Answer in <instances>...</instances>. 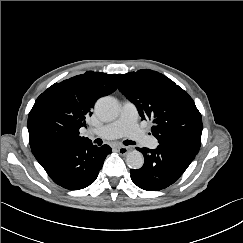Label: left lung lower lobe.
<instances>
[{
    "label": "left lung lower lobe",
    "instance_id": "obj_1",
    "mask_svg": "<svg viewBox=\"0 0 243 243\" xmlns=\"http://www.w3.org/2000/svg\"><path fill=\"white\" fill-rule=\"evenodd\" d=\"M201 141L179 139L150 150L137 148L145 158L144 165L130 170L132 181L141 189L158 191L173 184L188 168L200 149Z\"/></svg>",
    "mask_w": 243,
    "mask_h": 243
}]
</instances>
